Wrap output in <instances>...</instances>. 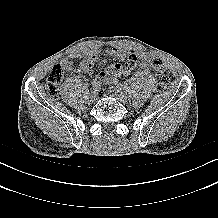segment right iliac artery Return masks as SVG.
Here are the masks:
<instances>
[{
  "label": "right iliac artery",
  "instance_id": "obj_1",
  "mask_svg": "<svg viewBox=\"0 0 218 218\" xmlns=\"http://www.w3.org/2000/svg\"><path fill=\"white\" fill-rule=\"evenodd\" d=\"M99 91V84L93 83L91 92L92 93H97Z\"/></svg>",
  "mask_w": 218,
  "mask_h": 218
}]
</instances>
